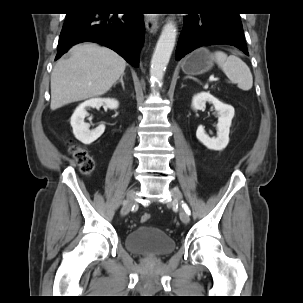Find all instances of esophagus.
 Returning a JSON list of instances; mask_svg holds the SVG:
<instances>
[{"label":"esophagus","instance_id":"34e87169","mask_svg":"<svg viewBox=\"0 0 303 303\" xmlns=\"http://www.w3.org/2000/svg\"><path fill=\"white\" fill-rule=\"evenodd\" d=\"M145 26L149 32L156 33L159 28V21L157 18L146 16Z\"/></svg>","mask_w":303,"mask_h":303}]
</instances>
